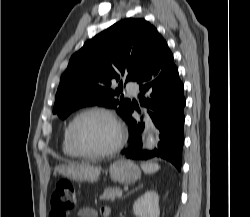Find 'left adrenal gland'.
Here are the masks:
<instances>
[{
    "instance_id": "1",
    "label": "left adrenal gland",
    "mask_w": 250,
    "mask_h": 217,
    "mask_svg": "<svg viewBox=\"0 0 250 217\" xmlns=\"http://www.w3.org/2000/svg\"><path fill=\"white\" fill-rule=\"evenodd\" d=\"M142 187H143V185H140V186H139V187H137L135 190L131 191L129 194H131L132 192L137 191L138 189H140V188H142Z\"/></svg>"
}]
</instances>
